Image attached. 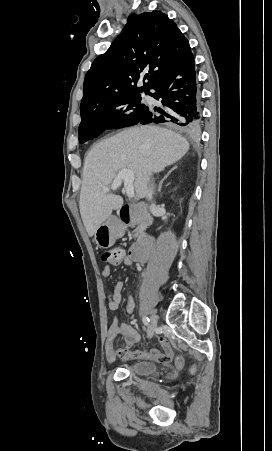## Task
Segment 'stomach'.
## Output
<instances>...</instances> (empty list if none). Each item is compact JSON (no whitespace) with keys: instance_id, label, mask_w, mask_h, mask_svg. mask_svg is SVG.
Segmentation results:
<instances>
[{"instance_id":"1","label":"stomach","mask_w":272,"mask_h":451,"mask_svg":"<svg viewBox=\"0 0 272 451\" xmlns=\"http://www.w3.org/2000/svg\"><path fill=\"white\" fill-rule=\"evenodd\" d=\"M94 239L99 247H111L116 237L108 224H101L94 233Z\"/></svg>"}]
</instances>
